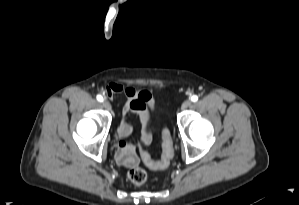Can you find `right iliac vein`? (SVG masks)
Masks as SVG:
<instances>
[{
  "mask_svg": "<svg viewBox=\"0 0 299 205\" xmlns=\"http://www.w3.org/2000/svg\"><path fill=\"white\" fill-rule=\"evenodd\" d=\"M103 106L108 111H111L112 109L111 104L107 100L103 101Z\"/></svg>",
  "mask_w": 299,
  "mask_h": 205,
  "instance_id": "63e3f726",
  "label": "right iliac vein"
}]
</instances>
